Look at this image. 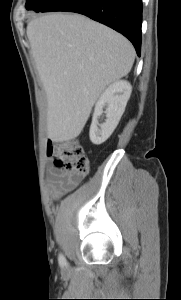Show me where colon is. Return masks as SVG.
I'll list each match as a JSON object with an SVG mask.
<instances>
[{
  "mask_svg": "<svg viewBox=\"0 0 181 300\" xmlns=\"http://www.w3.org/2000/svg\"><path fill=\"white\" fill-rule=\"evenodd\" d=\"M48 154L54 158L56 167L65 170L73 178H81L88 172V158L76 140L53 142L48 146Z\"/></svg>",
  "mask_w": 181,
  "mask_h": 300,
  "instance_id": "1",
  "label": "colon"
}]
</instances>
